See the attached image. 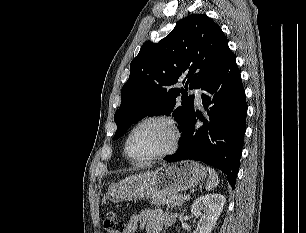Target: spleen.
<instances>
[{"instance_id": "obj_1", "label": "spleen", "mask_w": 306, "mask_h": 233, "mask_svg": "<svg viewBox=\"0 0 306 233\" xmlns=\"http://www.w3.org/2000/svg\"><path fill=\"white\" fill-rule=\"evenodd\" d=\"M209 177L206 182V190L211 191L219 184V178L216 171L208 167Z\"/></svg>"}]
</instances>
